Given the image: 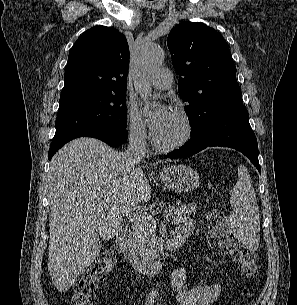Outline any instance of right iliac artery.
Listing matches in <instances>:
<instances>
[{
  "label": "right iliac artery",
  "mask_w": 297,
  "mask_h": 305,
  "mask_svg": "<svg viewBox=\"0 0 297 305\" xmlns=\"http://www.w3.org/2000/svg\"><path fill=\"white\" fill-rule=\"evenodd\" d=\"M153 303H154V298L149 297L146 299L145 305H153Z\"/></svg>",
  "instance_id": "1"
}]
</instances>
